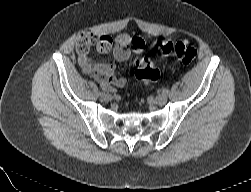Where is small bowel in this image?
Instances as JSON below:
<instances>
[{"label": "small bowel", "instance_id": "small-bowel-1", "mask_svg": "<svg viewBox=\"0 0 251 192\" xmlns=\"http://www.w3.org/2000/svg\"><path fill=\"white\" fill-rule=\"evenodd\" d=\"M91 47H95L101 54L111 52L116 60L124 61L129 58L132 52L141 51L144 48V42L141 38L130 37L127 34H119L115 38L108 34L93 33H87L83 36L77 47L82 70L92 76L103 89L113 90V88L124 87L127 83L126 78L116 76L112 64L92 60L88 55Z\"/></svg>", "mask_w": 251, "mask_h": 192}]
</instances>
